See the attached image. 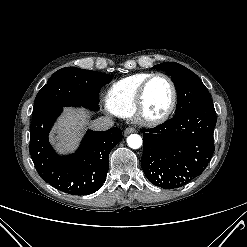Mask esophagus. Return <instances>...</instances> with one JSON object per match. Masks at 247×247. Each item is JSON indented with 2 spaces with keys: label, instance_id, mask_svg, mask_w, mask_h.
Returning a JSON list of instances; mask_svg holds the SVG:
<instances>
[{
  "label": "esophagus",
  "instance_id": "1",
  "mask_svg": "<svg viewBox=\"0 0 247 247\" xmlns=\"http://www.w3.org/2000/svg\"><path fill=\"white\" fill-rule=\"evenodd\" d=\"M134 132H136V129L135 128H133V127H127L124 130V135L126 136V135H129V134L134 133Z\"/></svg>",
  "mask_w": 247,
  "mask_h": 247
}]
</instances>
